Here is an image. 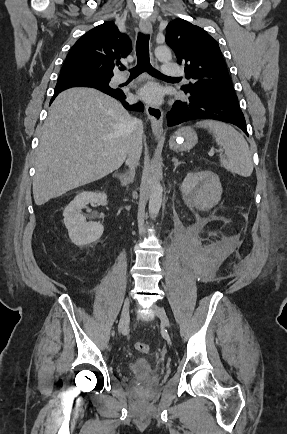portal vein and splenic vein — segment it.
I'll use <instances>...</instances> for the list:
<instances>
[{
	"label": "portal vein and splenic vein",
	"instance_id": "1",
	"mask_svg": "<svg viewBox=\"0 0 287 434\" xmlns=\"http://www.w3.org/2000/svg\"><path fill=\"white\" fill-rule=\"evenodd\" d=\"M219 152L222 153L223 151H222V150H219ZM209 155H210V156H213V155H214V151H213V150H210V151H209Z\"/></svg>",
	"mask_w": 287,
	"mask_h": 434
}]
</instances>
